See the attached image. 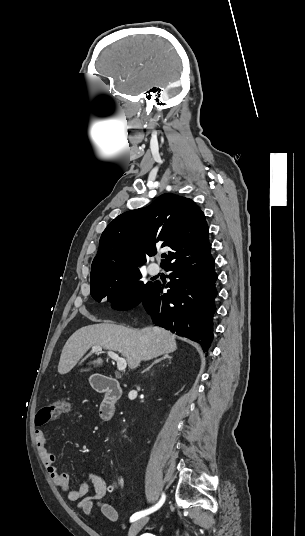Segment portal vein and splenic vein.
I'll return each instance as SVG.
<instances>
[{
    "label": "portal vein and splenic vein",
    "mask_w": 305,
    "mask_h": 536,
    "mask_svg": "<svg viewBox=\"0 0 305 536\" xmlns=\"http://www.w3.org/2000/svg\"><path fill=\"white\" fill-rule=\"evenodd\" d=\"M92 352H102L101 346H92ZM109 358H112V360H115L117 362V368L122 372V370H125L127 366L126 360L124 358H119L118 354H114V352H107Z\"/></svg>",
    "instance_id": "1"
}]
</instances>
